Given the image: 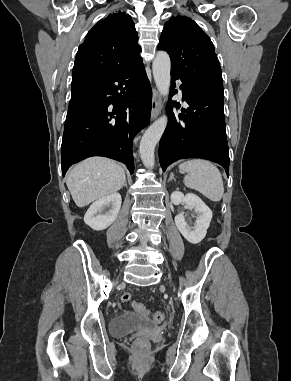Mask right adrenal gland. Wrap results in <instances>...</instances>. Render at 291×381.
<instances>
[{"mask_svg":"<svg viewBox=\"0 0 291 381\" xmlns=\"http://www.w3.org/2000/svg\"><path fill=\"white\" fill-rule=\"evenodd\" d=\"M126 187H127V181H125V184H124Z\"/></svg>","mask_w":291,"mask_h":381,"instance_id":"obj_1","label":"right adrenal gland"}]
</instances>
